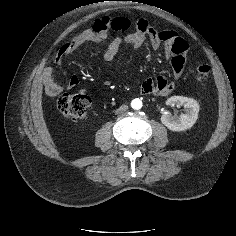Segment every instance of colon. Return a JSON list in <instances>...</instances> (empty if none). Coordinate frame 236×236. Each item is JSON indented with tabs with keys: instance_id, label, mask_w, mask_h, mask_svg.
Returning <instances> with one entry per match:
<instances>
[{
	"instance_id": "5ec220e1",
	"label": "colon",
	"mask_w": 236,
	"mask_h": 236,
	"mask_svg": "<svg viewBox=\"0 0 236 236\" xmlns=\"http://www.w3.org/2000/svg\"><path fill=\"white\" fill-rule=\"evenodd\" d=\"M97 26L102 25V19L94 23ZM131 22L127 18L112 19L110 28L112 31H125L130 28ZM210 74V67L207 64H199L196 67L195 76L198 81H205ZM91 105L89 96L85 93L63 94L57 100V107L60 113L69 121H78L83 119Z\"/></svg>"
}]
</instances>
